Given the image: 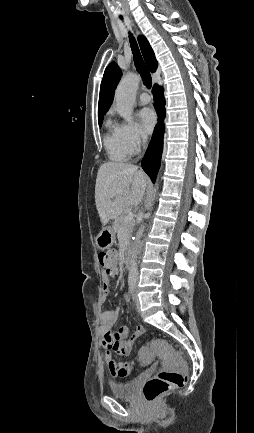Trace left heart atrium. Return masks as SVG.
Masks as SVG:
<instances>
[{"label":"left heart atrium","mask_w":254,"mask_h":433,"mask_svg":"<svg viewBox=\"0 0 254 433\" xmlns=\"http://www.w3.org/2000/svg\"><path fill=\"white\" fill-rule=\"evenodd\" d=\"M141 129L144 133H150L156 123V116L154 112L145 108L139 113Z\"/></svg>","instance_id":"39dd6f15"}]
</instances>
